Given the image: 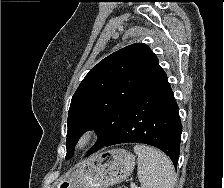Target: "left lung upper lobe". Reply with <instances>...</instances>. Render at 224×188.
<instances>
[{"label": "left lung upper lobe", "instance_id": "left-lung-upper-lobe-1", "mask_svg": "<svg viewBox=\"0 0 224 188\" xmlns=\"http://www.w3.org/2000/svg\"><path fill=\"white\" fill-rule=\"evenodd\" d=\"M156 55L143 43L124 47L100 61L85 76L72 97L68 114L67 156L84 131L99 139L89 154L100 149L120 126L134 101L165 77Z\"/></svg>", "mask_w": 224, "mask_h": 188}]
</instances>
